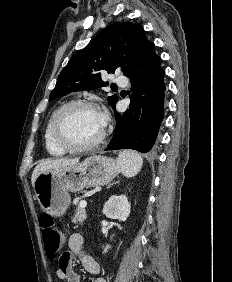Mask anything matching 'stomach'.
Returning a JSON list of instances; mask_svg holds the SVG:
<instances>
[{"mask_svg": "<svg viewBox=\"0 0 232 282\" xmlns=\"http://www.w3.org/2000/svg\"><path fill=\"white\" fill-rule=\"evenodd\" d=\"M119 172L120 169L113 159L93 155L73 166L40 173L33 186L34 192L43 211L59 217L69 207L71 200L69 192H80L84 188L106 185Z\"/></svg>", "mask_w": 232, "mask_h": 282, "instance_id": "stomach-1", "label": "stomach"}]
</instances>
